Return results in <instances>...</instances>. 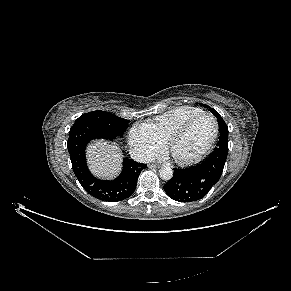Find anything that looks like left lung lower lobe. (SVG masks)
<instances>
[{
  "mask_svg": "<svg viewBox=\"0 0 291 291\" xmlns=\"http://www.w3.org/2000/svg\"><path fill=\"white\" fill-rule=\"evenodd\" d=\"M228 153V139L219 137L217 147L202 163L180 169L174 168L173 177L164 185L167 195L179 202L202 199L219 181Z\"/></svg>",
  "mask_w": 291,
  "mask_h": 291,
  "instance_id": "1",
  "label": "left lung lower lobe"
}]
</instances>
